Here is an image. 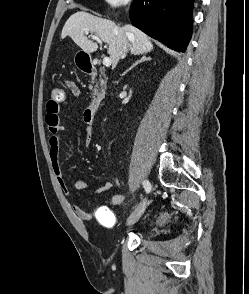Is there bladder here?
Masks as SVG:
<instances>
[{"label": "bladder", "instance_id": "31cf9c89", "mask_svg": "<svg viewBox=\"0 0 249 294\" xmlns=\"http://www.w3.org/2000/svg\"><path fill=\"white\" fill-rule=\"evenodd\" d=\"M162 219L167 220V214L166 213L163 214Z\"/></svg>", "mask_w": 249, "mask_h": 294}]
</instances>
